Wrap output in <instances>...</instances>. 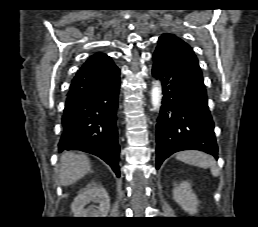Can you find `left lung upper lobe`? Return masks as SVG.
Returning a JSON list of instances; mask_svg holds the SVG:
<instances>
[{
  "mask_svg": "<svg viewBox=\"0 0 258 227\" xmlns=\"http://www.w3.org/2000/svg\"><path fill=\"white\" fill-rule=\"evenodd\" d=\"M158 45L168 46L198 63V60L191 47L173 34H163L158 39Z\"/></svg>",
  "mask_w": 258,
  "mask_h": 227,
  "instance_id": "5c2ea615",
  "label": "left lung upper lobe"
}]
</instances>
